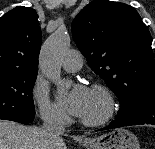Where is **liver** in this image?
Wrapping results in <instances>:
<instances>
[{
	"label": "liver",
	"mask_w": 155,
	"mask_h": 149,
	"mask_svg": "<svg viewBox=\"0 0 155 149\" xmlns=\"http://www.w3.org/2000/svg\"><path fill=\"white\" fill-rule=\"evenodd\" d=\"M0 149H66L61 141L51 143L43 128L0 120Z\"/></svg>",
	"instance_id": "1"
}]
</instances>
